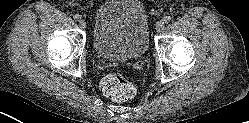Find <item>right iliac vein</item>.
Instances as JSON below:
<instances>
[{
  "mask_svg": "<svg viewBox=\"0 0 249 123\" xmlns=\"http://www.w3.org/2000/svg\"><path fill=\"white\" fill-rule=\"evenodd\" d=\"M78 23H79L80 28H82V29H85L87 26V23L84 19H79Z\"/></svg>",
  "mask_w": 249,
  "mask_h": 123,
  "instance_id": "obj_1",
  "label": "right iliac vein"
}]
</instances>
